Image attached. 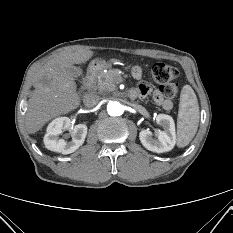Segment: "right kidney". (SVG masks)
<instances>
[{"mask_svg":"<svg viewBox=\"0 0 233 233\" xmlns=\"http://www.w3.org/2000/svg\"><path fill=\"white\" fill-rule=\"evenodd\" d=\"M87 129L85 124L72 126L68 117L56 118L47 127V132L43 140L45 147L51 151L60 152L62 154L73 153L84 143ZM65 130L71 132L72 140L70 142H67L63 138H59V135Z\"/></svg>","mask_w":233,"mask_h":233,"instance_id":"ca27d5eb","label":"right kidney"}]
</instances>
